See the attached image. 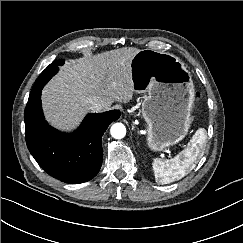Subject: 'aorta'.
Returning <instances> with one entry per match:
<instances>
[{"label":"aorta","mask_w":243,"mask_h":243,"mask_svg":"<svg viewBox=\"0 0 243 243\" xmlns=\"http://www.w3.org/2000/svg\"><path fill=\"white\" fill-rule=\"evenodd\" d=\"M111 135L115 139H122L126 135V127L122 123H115L110 129Z\"/></svg>","instance_id":"1"}]
</instances>
